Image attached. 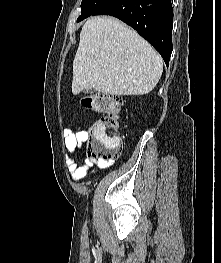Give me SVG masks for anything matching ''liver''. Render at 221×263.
I'll use <instances>...</instances> for the list:
<instances>
[{"mask_svg": "<svg viewBox=\"0 0 221 263\" xmlns=\"http://www.w3.org/2000/svg\"><path fill=\"white\" fill-rule=\"evenodd\" d=\"M163 60L152 46L112 17H92L80 32L73 61L72 93L144 95L154 89Z\"/></svg>", "mask_w": 221, "mask_h": 263, "instance_id": "liver-1", "label": "liver"}]
</instances>
